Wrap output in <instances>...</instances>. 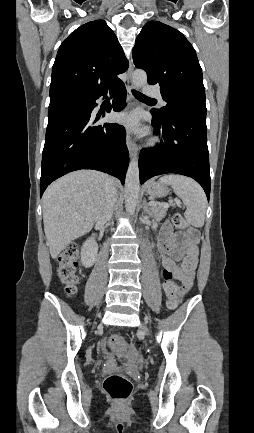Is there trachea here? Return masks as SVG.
I'll return each instance as SVG.
<instances>
[{
	"mask_svg": "<svg viewBox=\"0 0 254 433\" xmlns=\"http://www.w3.org/2000/svg\"><path fill=\"white\" fill-rule=\"evenodd\" d=\"M132 93H133V95H134L136 98H138V99L155 101L154 99L149 98V97L145 96L144 94H142V93H140V92H138V91H134V90H133Z\"/></svg>",
	"mask_w": 254,
	"mask_h": 433,
	"instance_id": "obj_1",
	"label": "trachea"
}]
</instances>
